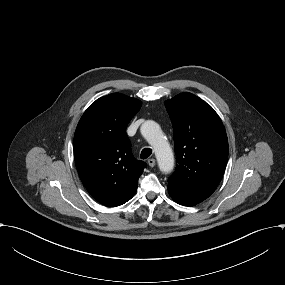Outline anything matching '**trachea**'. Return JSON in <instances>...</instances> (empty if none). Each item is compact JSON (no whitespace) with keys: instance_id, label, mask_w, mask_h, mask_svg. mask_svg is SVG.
<instances>
[{"instance_id":"1","label":"trachea","mask_w":285,"mask_h":285,"mask_svg":"<svg viewBox=\"0 0 285 285\" xmlns=\"http://www.w3.org/2000/svg\"><path fill=\"white\" fill-rule=\"evenodd\" d=\"M152 154V150L150 148H144L141 151V159H147Z\"/></svg>"}]
</instances>
